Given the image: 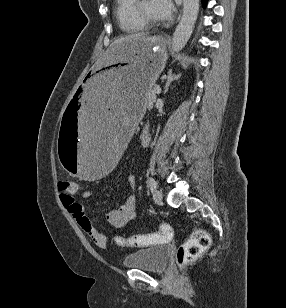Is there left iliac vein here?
<instances>
[{
  "instance_id": "obj_1",
  "label": "left iliac vein",
  "mask_w": 286,
  "mask_h": 308,
  "mask_svg": "<svg viewBox=\"0 0 286 308\" xmlns=\"http://www.w3.org/2000/svg\"><path fill=\"white\" fill-rule=\"evenodd\" d=\"M152 197H153L154 202L160 203L162 202L163 194L160 190L155 189Z\"/></svg>"
}]
</instances>
